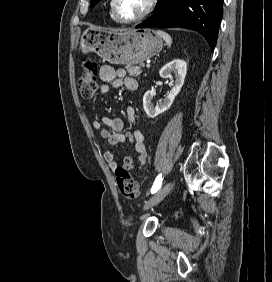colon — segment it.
I'll return each mask as SVG.
<instances>
[{
    "label": "colon",
    "mask_w": 272,
    "mask_h": 282,
    "mask_svg": "<svg viewBox=\"0 0 272 282\" xmlns=\"http://www.w3.org/2000/svg\"><path fill=\"white\" fill-rule=\"evenodd\" d=\"M79 91L84 99H91L98 91L100 84L98 81V67L92 60L83 62V72L78 80ZM117 186L120 194L126 199H135L139 195L138 182L124 168L115 170Z\"/></svg>",
    "instance_id": "5ec220e1"
}]
</instances>
